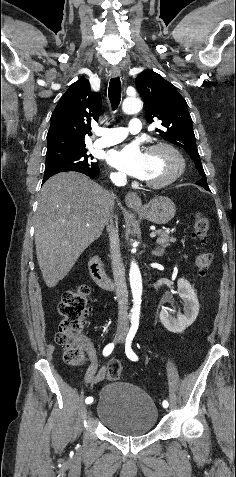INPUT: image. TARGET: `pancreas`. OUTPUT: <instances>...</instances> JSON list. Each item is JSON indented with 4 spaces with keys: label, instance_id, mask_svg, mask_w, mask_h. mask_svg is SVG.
<instances>
[{
    "label": "pancreas",
    "instance_id": "cf45deb5",
    "mask_svg": "<svg viewBox=\"0 0 236 477\" xmlns=\"http://www.w3.org/2000/svg\"><path fill=\"white\" fill-rule=\"evenodd\" d=\"M156 235L158 236L156 242L161 245L162 248H167L170 246L171 243L176 242V238L173 236H170L166 232L162 230H157L155 231Z\"/></svg>",
    "mask_w": 236,
    "mask_h": 477
}]
</instances>
